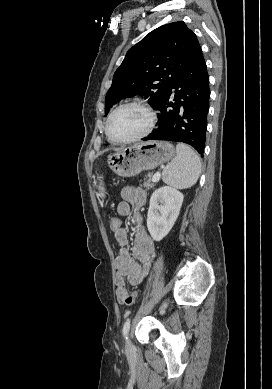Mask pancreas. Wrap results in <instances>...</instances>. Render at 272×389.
<instances>
[{
	"label": "pancreas",
	"mask_w": 272,
	"mask_h": 389,
	"mask_svg": "<svg viewBox=\"0 0 272 389\" xmlns=\"http://www.w3.org/2000/svg\"><path fill=\"white\" fill-rule=\"evenodd\" d=\"M152 176H153L152 173H149L148 174V179L144 183V187H146L147 189H150V188L153 187Z\"/></svg>",
	"instance_id": "cf45deb5"
}]
</instances>
